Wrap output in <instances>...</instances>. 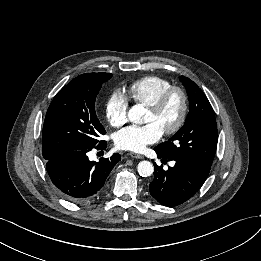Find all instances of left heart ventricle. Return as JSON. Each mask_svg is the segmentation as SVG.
Returning <instances> with one entry per match:
<instances>
[{"label": "left heart ventricle", "mask_w": 261, "mask_h": 261, "mask_svg": "<svg viewBox=\"0 0 261 261\" xmlns=\"http://www.w3.org/2000/svg\"><path fill=\"white\" fill-rule=\"evenodd\" d=\"M180 110L181 100L179 96L175 95L169 101L168 105L161 114L154 115L147 110L144 117V123H154L163 131L164 129L171 127L176 122L180 114Z\"/></svg>", "instance_id": "1"}]
</instances>
